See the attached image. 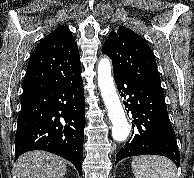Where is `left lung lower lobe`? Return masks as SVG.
<instances>
[{
	"label": "left lung lower lobe",
	"instance_id": "0a47b994",
	"mask_svg": "<svg viewBox=\"0 0 194 178\" xmlns=\"http://www.w3.org/2000/svg\"><path fill=\"white\" fill-rule=\"evenodd\" d=\"M114 79L121 97L129 96L125 108L134 118L135 132L116 156L120 160L137 155H160L180 164V155L175 132L170 123L164 92L135 81L115 76Z\"/></svg>",
	"mask_w": 194,
	"mask_h": 178
}]
</instances>
